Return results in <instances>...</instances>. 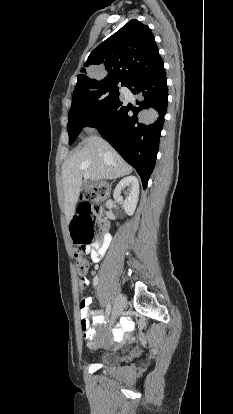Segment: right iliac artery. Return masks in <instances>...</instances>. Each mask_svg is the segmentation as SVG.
Instances as JSON below:
<instances>
[{
  "label": "right iliac artery",
  "instance_id": "1",
  "mask_svg": "<svg viewBox=\"0 0 233 414\" xmlns=\"http://www.w3.org/2000/svg\"><path fill=\"white\" fill-rule=\"evenodd\" d=\"M110 311H111V306L108 304V306H107V314H110Z\"/></svg>",
  "mask_w": 233,
  "mask_h": 414
}]
</instances>
